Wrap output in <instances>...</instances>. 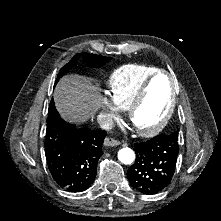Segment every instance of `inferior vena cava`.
<instances>
[{"label": "inferior vena cava", "mask_w": 221, "mask_h": 221, "mask_svg": "<svg viewBox=\"0 0 221 221\" xmlns=\"http://www.w3.org/2000/svg\"><path fill=\"white\" fill-rule=\"evenodd\" d=\"M97 122L99 126L104 130H109L114 127L113 119L105 113H101L97 116Z\"/></svg>", "instance_id": "inferior-vena-cava-1"}]
</instances>
